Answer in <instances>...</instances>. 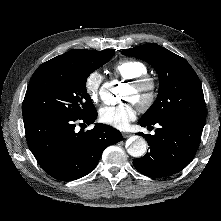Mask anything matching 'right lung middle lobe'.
Returning <instances> with one entry per match:
<instances>
[{"label": "right lung middle lobe", "instance_id": "obj_1", "mask_svg": "<svg viewBox=\"0 0 221 221\" xmlns=\"http://www.w3.org/2000/svg\"><path fill=\"white\" fill-rule=\"evenodd\" d=\"M114 50L96 51L78 62L49 60L30 79L23 102V117L82 118L96 111L86 90L88 76L107 63Z\"/></svg>", "mask_w": 221, "mask_h": 221}]
</instances>
